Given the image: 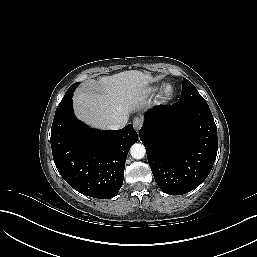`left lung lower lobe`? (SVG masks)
Returning a JSON list of instances; mask_svg holds the SVG:
<instances>
[{
  "instance_id": "1",
  "label": "left lung lower lobe",
  "mask_w": 257,
  "mask_h": 257,
  "mask_svg": "<svg viewBox=\"0 0 257 257\" xmlns=\"http://www.w3.org/2000/svg\"><path fill=\"white\" fill-rule=\"evenodd\" d=\"M139 137L160 189L182 195L198 187L216 159L217 127L208 105L155 106Z\"/></svg>"
}]
</instances>
